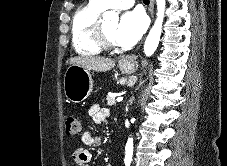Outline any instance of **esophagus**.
Here are the masks:
<instances>
[{"label": "esophagus", "mask_w": 227, "mask_h": 166, "mask_svg": "<svg viewBox=\"0 0 227 166\" xmlns=\"http://www.w3.org/2000/svg\"><path fill=\"white\" fill-rule=\"evenodd\" d=\"M149 11H150L151 18H152V21H153V18H154V0H150ZM128 62H129V58H122L120 60L121 64H125V63H128Z\"/></svg>", "instance_id": "1"}]
</instances>
